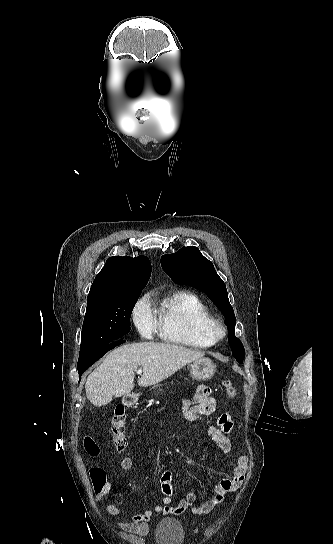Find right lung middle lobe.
I'll list each match as a JSON object with an SVG mask.
<instances>
[{"instance_id": "1", "label": "right lung middle lobe", "mask_w": 333, "mask_h": 544, "mask_svg": "<svg viewBox=\"0 0 333 544\" xmlns=\"http://www.w3.org/2000/svg\"><path fill=\"white\" fill-rule=\"evenodd\" d=\"M141 291L87 302L82 327L78 368L106 352L114 340L127 334L132 310ZM117 342V341H116Z\"/></svg>"}]
</instances>
